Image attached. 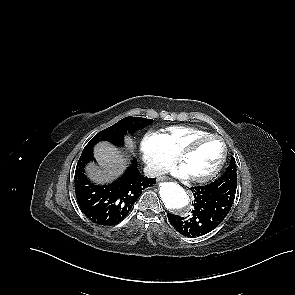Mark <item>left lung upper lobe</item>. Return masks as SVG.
<instances>
[{
	"mask_svg": "<svg viewBox=\"0 0 295 295\" xmlns=\"http://www.w3.org/2000/svg\"><path fill=\"white\" fill-rule=\"evenodd\" d=\"M226 174H232V175L237 176L235 159L233 157H231L230 164L227 167V170L225 171L224 175H226Z\"/></svg>",
	"mask_w": 295,
	"mask_h": 295,
	"instance_id": "5c2ea615",
	"label": "left lung upper lobe"
}]
</instances>
